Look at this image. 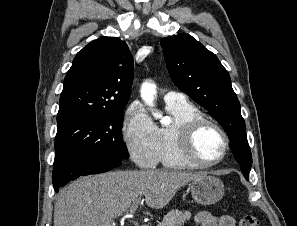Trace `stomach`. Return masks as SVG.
<instances>
[{"label": "stomach", "mask_w": 297, "mask_h": 226, "mask_svg": "<svg viewBox=\"0 0 297 226\" xmlns=\"http://www.w3.org/2000/svg\"><path fill=\"white\" fill-rule=\"evenodd\" d=\"M189 187L193 199L201 205L214 204L224 195L223 182L219 178L210 175L192 181Z\"/></svg>", "instance_id": "1"}]
</instances>
